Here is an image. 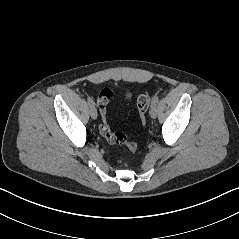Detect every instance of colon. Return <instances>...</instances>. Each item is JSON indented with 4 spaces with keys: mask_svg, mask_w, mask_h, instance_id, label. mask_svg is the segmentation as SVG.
<instances>
[{
    "mask_svg": "<svg viewBox=\"0 0 239 239\" xmlns=\"http://www.w3.org/2000/svg\"><path fill=\"white\" fill-rule=\"evenodd\" d=\"M114 92L105 88L101 90L97 98V105L99 108L101 123H100V133L101 135L110 143L116 145H124L128 148L131 154H135L137 151V145L135 142L129 141L125 134L121 132L111 131L107 120V104L112 98ZM151 97L149 95L143 94L139 96L137 100V108L143 123L146 121V114L149 109Z\"/></svg>",
    "mask_w": 239,
    "mask_h": 239,
    "instance_id": "obj_1",
    "label": "colon"
}]
</instances>
